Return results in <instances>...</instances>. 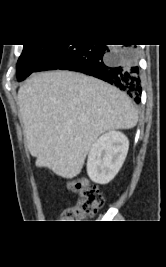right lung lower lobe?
<instances>
[{"label":"right lung lower lobe","mask_w":166,"mask_h":267,"mask_svg":"<svg viewBox=\"0 0 166 267\" xmlns=\"http://www.w3.org/2000/svg\"><path fill=\"white\" fill-rule=\"evenodd\" d=\"M71 70L99 78L141 101V78L134 46L59 45L35 70Z\"/></svg>","instance_id":"98d812e1"}]
</instances>
